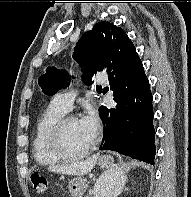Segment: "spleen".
I'll list each match as a JSON object with an SVG mask.
<instances>
[{
    "mask_svg": "<svg viewBox=\"0 0 191 197\" xmlns=\"http://www.w3.org/2000/svg\"><path fill=\"white\" fill-rule=\"evenodd\" d=\"M113 174H116V175H118V174H119V172H116V173H113Z\"/></svg>",
    "mask_w": 191,
    "mask_h": 197,
    "instance_id": "1",
    "label": "spleen"
}]
</instances>
